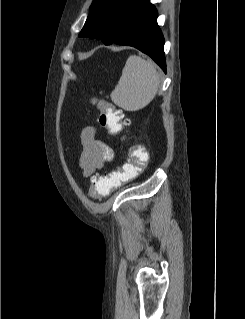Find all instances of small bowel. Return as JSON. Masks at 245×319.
I'll use <instances>...</instances> for the list:
<instances>
[{"label":"small bowel","mask_w":245,"mask_h":319,"mask_svg":"<svg viewBox=\"0 0 245 319\" xmlns=\"http://www.w3.org/2000/svg\"><path fill=\"white\" fill-rule=\"evenodd\" d=\"M80 137L82 143L80 166L85 176L93 175L107 163L112 162L114 152L108 144L99 139L98 130L95 126H85Z\"/></svg>","instance_id":"small-bowel-1"}]
</instances>
